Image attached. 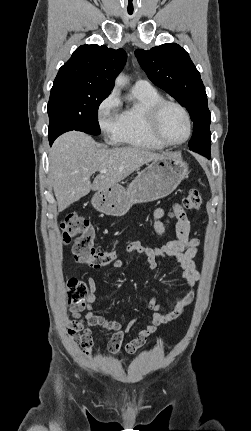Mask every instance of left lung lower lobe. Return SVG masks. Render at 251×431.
<instances>
[{
  "mask_svg": "<svg viewBox=\"0 0 251 431\" xmlns=\"http://www.w3.org/2000/svg\"><path fill=\"white\" fill-rule=\"evenodd\" d=\"M193 131H199L195 126L193 127Z\"/></svg>",
  "mask_w": 251,
  "mask_h": 431,
  "instance_id": "obj_1",
  "label": "left lung lower lobe"
}]
</instances>
